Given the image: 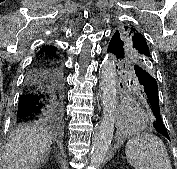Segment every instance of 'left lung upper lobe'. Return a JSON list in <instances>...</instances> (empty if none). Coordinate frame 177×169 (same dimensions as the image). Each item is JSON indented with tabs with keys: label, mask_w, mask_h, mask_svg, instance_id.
Here are the masks:
<instances>
[{
	"label": "left lung upper lobe",
	"mask_w": 177,
	"mask_h": 169,
	"mask_svg": "<svg viewBox=\"0 0 177 169\" xmlns=\"http://www.w3.org/2000/svg\"><path fill=\"white\" fill-rule=\"evenodd\" d=\"M110 43L117 52L118 60L138 64L152 76L154 75L153 60L148 44L144 36L135 27L122 25L112 36ZM140 91L142 92L141 89Z\"/></svg>",
	"instance_id": "obj_1"
}]
</instances>
